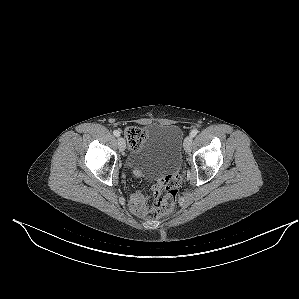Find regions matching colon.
<instances>
[{
  "label": "colon",
  "mask_w": 299,
  "mask_h": 299,
  "mask_svg": "<svg viewBox=\"0 0 299 299\" xmlns=\"http://www.w3.org/2000/svg\"><path fill=\"white\" fill-rule=\"evenodd\" d=\"M125 136L129 148L135 151L144 141L145 132L140 127H129L125 131ZM180 185L181 175L175 172L165 176L154 187V202L147 209V214L150 218H160L173 210Z\"/></svg>",
  "instance_id": "obj_1"
}]
</instances>
